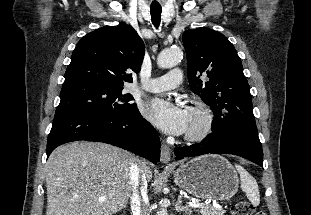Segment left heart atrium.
<instances>
[{"label":"left heart atrium","mask_w":311,"mask_h":215,"mask_svg":"<svg viewBox=\"0 0 311 215\" xmlns=\"http://www.w3.org/2000/svg\"><path fill=\"white\" fill-rule=\"evenodd\" d=\"M144 113L167 134L181 135L188 129L189 110L179 103L154 98L144 106Z\"/></svg>","instance_id":"left-heart-atrium-1"}]
</instances>
